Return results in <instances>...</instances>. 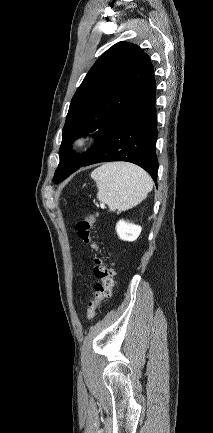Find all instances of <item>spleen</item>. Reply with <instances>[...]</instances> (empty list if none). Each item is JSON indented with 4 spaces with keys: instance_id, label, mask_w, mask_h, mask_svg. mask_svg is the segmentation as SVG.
Listing matches in <instances>:
<instances>
[{
    "instance_id": "3e777b00",
    "label": "spleen",
    "mask_w": 213,
    "mask_h": 433,
    "mask_svg": "<svg viewBox=\"0 0 213 433\" xmlns=\"http://www.w3.org/2000/svg\"><path fill=\"white\" fill-rule=\"evenodd\" d=\"M91 178L98 188L97 198L118 213L140 204L153 188L151 177L131 163H106L95 169Z\"/></svg>"
}]
</instances>
